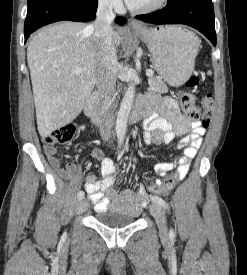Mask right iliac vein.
<instances>
[{"label": "right iliac vein", "mask_w": 247, "mask_h": 275, "mask_svg": "<svg viewBox=\"0 0 247 275\" xmlns=\"http://www.w3.org/2000/svg\"><path fill=\"white\" fill-rule=\"evenodd\" d=\"M88 205H89L88 200L80 199L77 202V211H78V213L84 212L88 208Z\"/></svg>", "instance_id": "right-iliac-vein-1"}]
</instances>
